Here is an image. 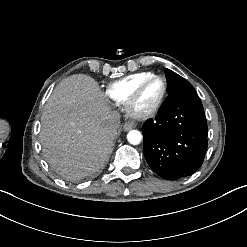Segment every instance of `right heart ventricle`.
<instances>
[{
  "label": "right heart ventricle",
  "mask_w": 247,
  "mask_h": 247,
  "mask_svg": "<svg viewBox=\"0 0 247 247\" xmlns=\"http://www.w3.org/2000/svg\"><path fill=\"white\" fill-rule=\"evenodd\" d=\"M153 75L152 72H142L123 77L111 83L106 89V95L115 103L123 104L132 92L134 86L142 79Z\"/></svg>",
  "instance_id": "right-heart-ventricle-1"
}]
</instances>
